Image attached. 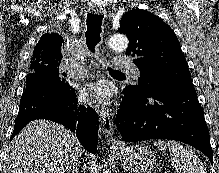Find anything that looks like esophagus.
<instances>
[{"mask_svg":"<svg viewBox=\"0 0 219 173\" xmlns=\"http://www.w3.org/2000/svg\"><path fill=\"white\" fill-rule=\"evenodd\" d=\"M93 11L96 14L106 15V10L103 7H95ZM100 130L107 139L108 144H116L117 140L114 137L113 114L105 106L100 109Z\"/></svg>","mask_w":219,"mask_h":173,"instance_id":"esophagus-1","label":"esophagus"}]
</instances>
